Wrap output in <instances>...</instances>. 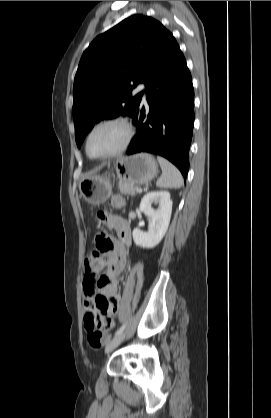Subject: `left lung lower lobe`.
Returning <instances> with one entry per match:
<instances>
[{
  "mask_svg": "<svg viewBox=\"0 0 271 418\" xmlns=\"http://www.w3.org/2000/svg\"><path fill=\"white\" fill-rule=\"evenodd\" d=\"M148 118L140 104L133 116L137 128L128 155L149 152L170 160L184 179L194 126V89L186 60L175 38L146 85Z\"/></svg>",
  "mask_w": 271,
  "mask_h": 418,
  "instance_id": "obj_1",
  "label": "left lung lower lobe"
}]
</instances>
